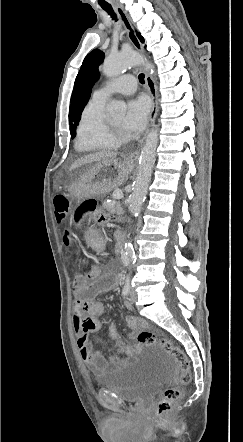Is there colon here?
<instances>
[{"label":"colon","instance_id":"colon-1","mask_svg":"<svg viewBox=\"0 0 243 442\" xmlns=\"http://www.w3.org/2000/svg\"><path fill=\"white\" fill-rule=\"evenodd\" d=\"M55 216L59 224L63 223L71 213V205L69 200L64 195H56L53 199ZM124 213H96V204L94 200L84 201L77 209L74 215V224L80 227L85 221H97L98 226H103L104 222H124L126 220ZM137 219L134 216L129 217L128 224H136ZM72 240L70 231H66L63 236V241L66 245H70ZM83 310L85 308L83 307ZM137 340L140 344L158 345L164 352L174 358L179 364L180 368V386L169 387L164 391L161 400L158 402L156 416L158 419H167L171 416L174 408L179 402L182 395V387L191 382V365L185 352L174 345L169 339L164 337H157L151 332H141Z\"/></svg>","mask_w":243,"mask_h":442}]
</instances>
